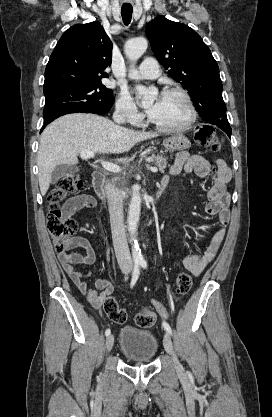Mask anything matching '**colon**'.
<instances>
[{"mask_svg": "<svg viewBox=\"0 0 272 417\" xmlns=\"http://www.w3.org/2000/svg\"><path fill=\"white\" fill-rule=\"evenodd\" d=\"M194 140L198 145L208 147L213 151H218L221 148V142L210 126H198L194 131ZM81 187L82 181L76 174H67L58 180L48 194L47 228L56 241L58 252L69 247L71 239L78 229L76 221L64 214L61 203L68 194L78 191ZM176 285L180 294H187L193 285L191 275L186 272L179 273ZM151 303L162 318H168V311L158 300L153 299ZM103 309L108 318L115 323L121 324L127 320V311L120 307L112 297L105 299ZM155 320L156 315L149 307L141 309L135 316L136 324L143 328L151 327Z\"/></svg>", "mask_w": 272, "mask_h": 417, "instance_id": "colon-1", "label": "colon"}]
</instances>
